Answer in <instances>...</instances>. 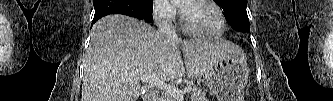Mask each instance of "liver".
<instances>
[{"label":"liver","mask_w":333,"mask_h":101,"mask_svg":"<svg viewBox=\"0 0 333 101\" xmlns=\"http://www.w3.org/2000/svg\"><path fill=\"white\" fill-rule=\"evenodd\" d=\"M232 48L227 41L167 39L144 21L108 15L92 28L81 101H137L140 76L169 81L186 71L188 77L198 78Z\"/></svg>","instance_id":"obj_1"}]
</instances>
